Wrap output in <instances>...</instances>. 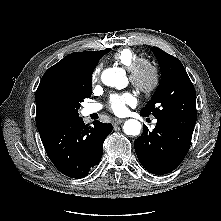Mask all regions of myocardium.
<instances>
[{
  "mask_svg": "<svg viewBox=\"0 0 221 221\" xmlns=\"http://www.w3.org/2000/svg\"><path fill=\"white\" fill-rule=\"evenodd\" d=\"M149 74L148 79L144 73ZM129 79L132 85L141 93L149 95L159 86L161 74L155 62L148 58H137L129 69Z\"/></svg>",
  "mask_w": 221,
  "mask_h": 221,
  "instance_id": "1",
  "label": "myocardium"
}]
</instances>
